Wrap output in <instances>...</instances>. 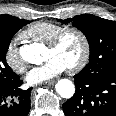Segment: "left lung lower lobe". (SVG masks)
Instances as JSON below:
<instances>
[{
  "instance_id": "1",
  "label": "left lung lower lobe",
  "mask_w": 116,
  "mask_h": 116,
  "mask_svg": "<svg viewBox=\"0 0 116 116\" xmlns=\"http://www.w3.org/2000/svg\"><path fill=\"white\" fill-rule=\"evenodd\" d=\"M76 91L63 104L65 116H116V73L74 76Z\"/></svg>"
}]
</instances>
